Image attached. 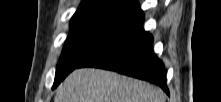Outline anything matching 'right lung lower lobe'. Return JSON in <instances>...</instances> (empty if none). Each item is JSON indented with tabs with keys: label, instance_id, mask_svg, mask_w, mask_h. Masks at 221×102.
Returning <instances> with one entry per match:
<instances>
[{
	"label": "right lung lower lobe",
	"instance_id": "right-lung-lower-lobe-1",
	"mask_svg": "<svg viewBox=\"0 0 221 102\" xmlns=\"http://www.w3.org/2000/svg\"><path fill=\"white\" fill-rule=\"evenodd\" d=\"M143 14L128 29L104 44L77 68L97 67L146 80L169 94L163 62L153 51V36L143 29ZM62 80L53 85L56 88Z\"/></svg>",
	"mask_w": 221,
	"mask_h": 102
}]
</instances>
